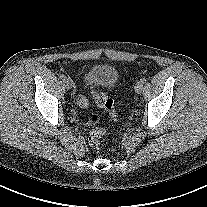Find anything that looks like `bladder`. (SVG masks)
<instances>
[{
  "label": "bladder",
  "mask_w": 207,
  "mask_h": 207,
  "mask_svg": "<svg viewBox=\"0 0 207 207\" xmlns=\"http://www.w3.org/2000/svg\"><path fill=\"white\" fill-rule=\"evenodd\" d=\"M86 85L96 88H114L119 81L117 69L108 64L91 67L86 74Z\"/></svg>",
  "instance_id": "obj_1"
}]
</instances>
